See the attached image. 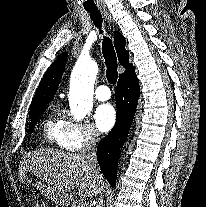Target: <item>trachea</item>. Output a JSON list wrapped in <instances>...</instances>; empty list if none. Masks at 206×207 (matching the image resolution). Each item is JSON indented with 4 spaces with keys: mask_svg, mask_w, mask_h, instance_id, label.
<instances>
[{
    "mask_svg": "<svg viewBox=\"0 0 206 207\" xmlns=\"http://www.w3.org/2000/svg\"><path fill=\"white\" fill-rule=\"evenodd\" d=\"M90 13V17L94 22V25L99 28L100 33H102V16L99 11H91L88 10ZM102 53L105 59V64L107 67L106 70V77L109 83L115 84L118 78V71H117V57L116 53L112 44V41L108 37H104L102 43Z\"/></svg>",
    "mask_w": 206,
    "mask_h": 207,
    "instance_id": "1",
    "label": "trachea"
}]
</instances>
